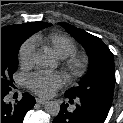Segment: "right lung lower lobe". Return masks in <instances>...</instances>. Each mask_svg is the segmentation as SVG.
Returning <instances> with one entry per match:
<instances>
[{"instance_id": "1", "label": "right lung lower lobe", "mask_w": 123, "mask_h": 123, "mask_svg": "<svg viewBox=\"0 0 123 123\" xmlns=\"http://www.w3.org/2000/svg\"><path fill=\"white\" fill-rule=\"evenodd\" d=\"M9 91L1 90V123H23L25 114L35 105V98L25 93L17 104H6L4 100Z\"/></svg>"}]
</instances>
